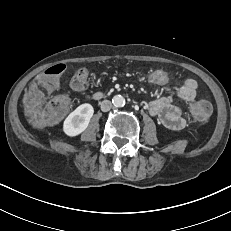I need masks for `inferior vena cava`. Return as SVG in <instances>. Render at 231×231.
<instances>
[{
	"label": "inferior vena cava",
	"mask_w": 231,
	"mask_h": 231,
	"mask_svg": "<svg viewBox=\"0 0 231 231\" xmlns=\"http://www.w3.org/2000/svg\"><path fill=\"white\" fill-rule=\"evenodd\" d=\"M113 107V104L109 100H104L101 102V110L103 112L109 111Z\"/></svg>",
	"instance_id": "obj_1"
}]
</instances>
